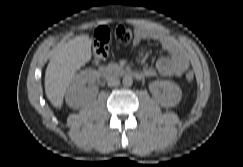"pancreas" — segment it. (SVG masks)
<instances>
[{
  "mask_svg": "<svg viewBox=\"0 0 243 167\" xmlns=\"http://www.w3.org/2000/svg\"><path fill=\"white\" fill-rule=\"evenodd\" d=\"M107 67L111 70H121V67L117 63H109Z\"/></svg>",
  "mask_w": 243,
  "mask_h": 167,
  "instance_id": "cf45deb5",
  "label": "pancreas"
}]
</instances>
